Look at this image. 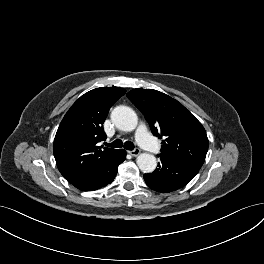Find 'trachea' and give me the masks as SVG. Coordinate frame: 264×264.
<instances>
[{
	"label": "trachea",
	"instance_id": "trachea-1",
	"mask_svg": "<svg viewBox=\"0 0 264 264\" xmlns=\"http://www.w3.org/2000/svg\"><path fill=\"white\" fill-rule=\"evenodd\" d=\"M106 146L113 147V148H121L124 147L127 150H133L135 148L134 144L130 141L122 142L120 139H116L114 142L108 144L106 143Z\"/></svg>",
	"mask_w": 264,
	"mask_h": 264
}]
</instances>
